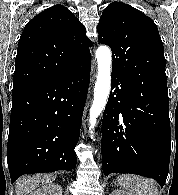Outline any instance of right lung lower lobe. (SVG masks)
I'll use <instances>...</instances> for the list:
<instances>
[{
	"mask_svg": "<svg viewBox=\"0 0 178 195\" xmlns=\"http://www.w3.org/2000/svg\"><path fill=\"white\" fill-rule=\"evenodd\" d=\"M89 81L90 63L68 76L13 87L7 144L12 183L23 174L75 169Z\"/></svg>",
	"mask_w": 178,
	"mask_h": 195,
	"instance_id": "right-lung-lower-lobe-1",
	"label": "right lung lower lobe"
}]
</instances>
